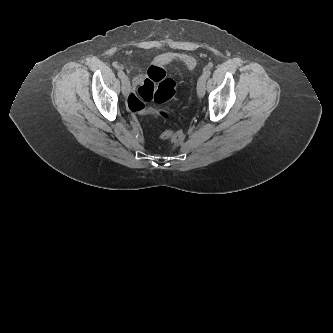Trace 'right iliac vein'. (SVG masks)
Instances as JSON below:
<instances>
[{
  "mask_svg": "<svg viewBox=\"0 0 333 333\" xmlns=\"http://www.w3.org/2000/svg\"><path fill=\"white\" fill-rule=\"evenodd\" d=\"M122 91L124 95H127V93L129 92V85L126 81H123Z\"/></svg>",
  "mask_w": 333,
  "mask_h": 333,
  "instance_id": "obj_1",
  "label": "right iliac vein"
}]
</instances>
